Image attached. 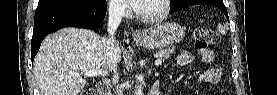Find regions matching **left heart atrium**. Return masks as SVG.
<instances>
[{"mask_svg":"<svg viewBox=\"0 0 277 95\" xmlns=\"http://www.w3.org/2000/svg\"><path fill=\"white\" fill-rule=\"evenodd\" d=\"M123 1L132 7H137L142 0H123Z\"/></svg>","mask_w":277,"mask_h":95,"instance_id":"left-heart-atrium-1","label":"left heart atrium"}]
</instances>
